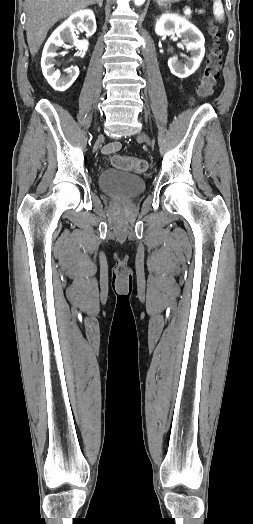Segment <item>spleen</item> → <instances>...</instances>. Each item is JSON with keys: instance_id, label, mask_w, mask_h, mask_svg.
Returning a JSON list of instances; mask_svg holds the SVG:
<instances>
[{"instance_id": "spleen-1", "label": "spleen", "mask_w": 253, "mask_h": 524, "mask_svg": "<svg viewBox=\"0 0 253 524\" xmlns=\"http://www.w3.org/2000/svg\"><path fill=\"white\" fill-rule=\"evenodd\" d=\"M213 13L219 20L224 19V9L221 0H215L213 3Z\"/></svg>"}]
</instances>
